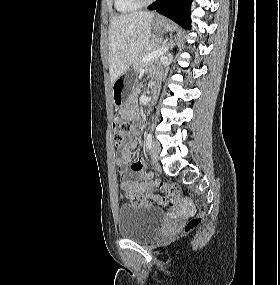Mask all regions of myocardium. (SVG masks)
Returning <instances> with one entry per match:
<instances>
[{"mask_svg": "<svg viewBox=\"0 0 280 285\" xmlns=\"http://www.w3.org/2000/svg\"><path fill=\"white\" fill-rule=\"evenodd\" d=\"M136 3H138L139 5H146L149 3H152L155 0H134Z\"/></svg>", "mask_w": 280, "mask_h": 285, "instance_id": "obj_1", "label": "myocardium"}]
</instances>
